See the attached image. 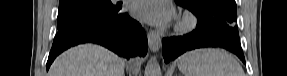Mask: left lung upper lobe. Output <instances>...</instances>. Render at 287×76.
<instances>
[{"label": "left lung upper lobe", "instance_id": "1", "mask_svg": "<svg viewBox=\"0 0 287 76\" xmlns=\"http://www.w3.org/2000/svg\"><path fill=\"white\" fill-rule=\"evenodd\" d=\"M195 13L198 19L211 27L231 35H238L235 0H175Z\"/></svg>", "mask_w": 287, "mask_h": 76}]
</instances>
